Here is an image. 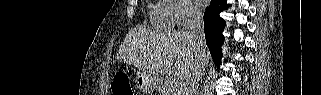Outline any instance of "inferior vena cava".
I'll use <instances>...</instances> for the list:
<instances>
[{
  "instance_id": "602c4592",
  "label": "inferior vena cava",
  "mask_w": 321,
  "mask_h": 95,
  "mask_svg": "<svg viewBox=\"0 0 321 95\" xmlns=\"http://www.w3.org/2000/svg\"><path fill=\"white\" fill-rule=\"evenodd\" d=\"M188 32L197 48L198 64L194 72L189 75L181 88L180 95H196L199 81L202 78L206 63L204 60V52L206 47L204 36V22L202 12L193 6L188 9Z\"/></svg>"
}]
</instances>
